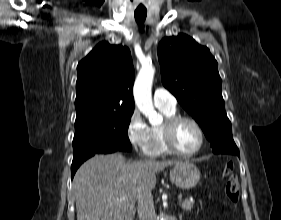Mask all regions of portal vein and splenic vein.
Segmentation results:
<instances>
[{
  "label": "portal vein and splenic vein",
  "mask_w": 281,
  "mask_h": 220,
  "mask_svg": "<svg viewBox=\"0 0 281 220\" xmlns=\"http://www.w3.org/2000/svg\"><path fill=\"white\" fill-rule=\"evenodd\" d=\"M126 200H127V198H126V197H123V198H118V199H117V201H118V202H120V203H121V202H123V201H126Z\"/></svg>",
  "instance_id": "18ae733b"
}]
</instances>
